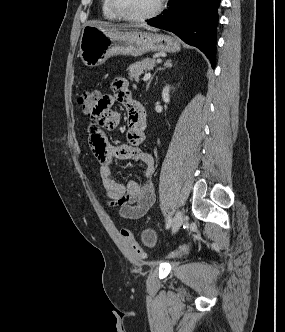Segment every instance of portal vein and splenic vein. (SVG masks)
Returning a JSON list of instances; mask_svg holds the SVG:
<instances>
[{"label": "portal vein and splenic vein", "mask_w": 285, "mask_h": 332, "mask_svg": "<svg viewBox=\"0 0 285 332\" xmlns=\"http://www.w3.org/2000/svg\"><path fill=\"white\" fill-rule=\"evenodd\" d=\"M150 76H151L150 73L145 74L144 77H143V80L147 81L150 78Z\"/></svg>", "instance_id": "18ae733b"}]
</instances>
